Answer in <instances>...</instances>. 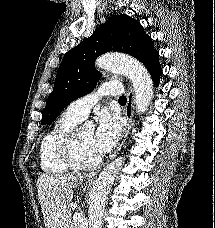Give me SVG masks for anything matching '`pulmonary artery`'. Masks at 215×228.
<instances>
[{"label": "pulmonary artery", "mask_w": 215, "mask_h": 228, "mask_svg": "<svg viewBox=\"0 0 215 228\" xmlns=\"http://www.w3.org/2000/svg\"><path fill=\"white\" fill-rule=\"evenodd\" d=\"M126 93H128V88H125L124 84H120V82H107V84H101V89L98 92L70 103L67 107V111L82 121L86 118L91 107L98 103L103 96H126Z\"/></svg>", "instance_id": "obj_1"}]
</instances>
